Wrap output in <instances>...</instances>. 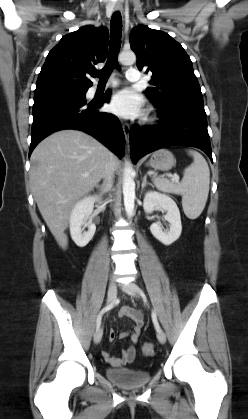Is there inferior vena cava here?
Here are the masks:
<instances>
[{"label":"inferior vena cava","instance_id":"1","mask_svg":"<svg viewBox=\"0 0 248 419\" xmlns=\"http://www.w3.org/2000/svg\"><path fill=\"white\" fill-rule=\"evenodd\" d=\"M111 157H113V154H111ZM115 165L111 159L110 162L105 167L104 171V186L107 189V191L111 190L113 186V178H114V172H115Z\"/></svg>","mask_w":248,"mask_h":419}]
</instances>
